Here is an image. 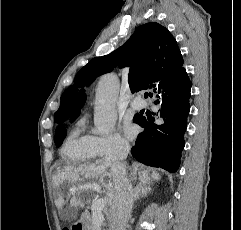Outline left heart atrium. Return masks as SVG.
Wrapping results in <instances>:
<instances>
[{
    "mask_svg": "<svg viewBox=\"0 0 241 230\" xmlns=\"http://www.w3.org/2000/svg\"><path fill=\"white\" fill-rule=\"evenodd\" d=\"M124 132L127 137L133 138L136 133V127L129 120H127L124 124Z\"/></svg>",
    "mask_w": 241,
    "mask_h": 230,
    "instance_id": "obj_1",
    "label": "left heart atrium"
}]
</instances>
